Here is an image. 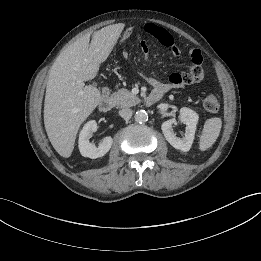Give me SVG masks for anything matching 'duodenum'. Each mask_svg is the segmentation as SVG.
I'll return each mask as SVG.
<instances>
[{"mask_svg": "<svg viewBox=\"0 0 261 261\" xmlns=\"http://www.w3.org/2000/svg\"><path fill=\"white\" fill-rule=\"evenodd\" d=\"M161 97H162V93H160L158 91H152L146 98V104L149 106L153 105V104L157 103ZM113 104H114L113 99L109 96V88L104 87L103 88V97L99 104L100 111H102V112L110 111L113 108Z\"/></svg>", "mask_w": 261, "mask_h": 261, "instance_id": "410a0bca", "label": "duodenum"}]
</instances>
